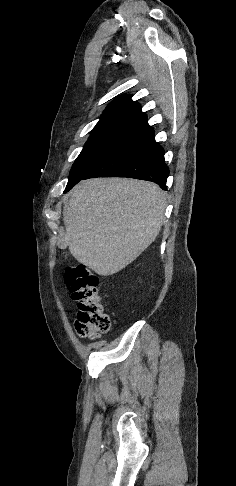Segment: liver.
<instances>
[{
	"label": "liver",
	"mask_w": 236,
	"mask_h": 486,
	"mask_svg": "<svg viewBox=\"0 0 236 486\" xmlns=\"http://www.w3.org/2000/svg\"><path fill=\"white\" fill-rule=\"evenodd\" d=\"M165 193L154 183L127 178L81 181L70 192L61 240L95 273L113 275L132 263L158 236Z\"/></svg>",
	"instance_id": "6515ba94"
}]
</instances>
